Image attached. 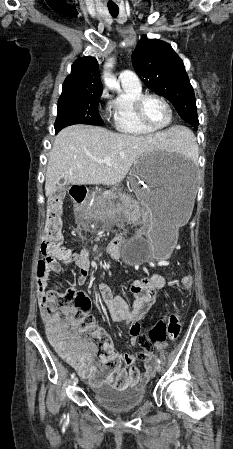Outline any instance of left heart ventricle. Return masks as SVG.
<instances>
[{
  "mask_svg": "<svg viewBox=\"0 0 233 449\" xmlns=\"http://www.w3.org/2000/svg\"><path fill=\"white\" fill-rule=\"evenodd\" d=\"M143 112L147 121L153 126H162L168 121L167 108L157 99H147L143 106Z\"/></svg>",
  "mask_w": 233,
  "mask_h": 449,
  "instance_id": "b2bd125f",
  "label": "left heart ventricle"
}]
</instances>
